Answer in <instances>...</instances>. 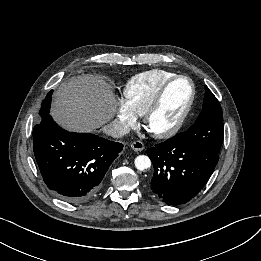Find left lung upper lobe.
<instances>
[{"label": "left lung upper lobe", "mask_w": 261, "mask_h": 261, "mask_svg": "<svg viewBox=\"0 0 261 261\" xmlns=\"http://www.w3.org/2000/svg\"><path fill=\"white\" fill-rule=\"evenodd\" d=\"M205 89L203 110L186 132L195 146L219 153L224 137L222 109L209 88L206 86Z\"/></svg>", "instance_id": "obj_1"}]
</instances>
